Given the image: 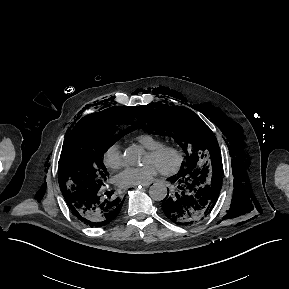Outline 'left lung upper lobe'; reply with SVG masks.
<instances>
[{
	"mask_svg": "<svg viewBox=\"0 0 289 289\" xmlns=\"http://www.w3.org/2000/svg\"><path fill=\"white\" fill-rule=\"evenodd\" d=\"M137 112L138 126L152 134L171 136L186 152L187 162L176 176L201 170L208 175L223 172L216 137L192 110L151 103L139 106Z\"/></svg>",
	"mask_w": 289,
	"mask_h": 289,
	"instance_id": "1",
	"label": "left lung upper lobe"
}]
</instances>
